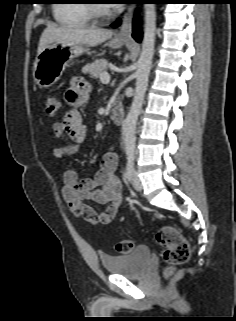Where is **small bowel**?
<instances>
[{
  "label": "small bowel",
  "mask_w": 236,
  "mask_h": 321,
  "mask_svg": "<svg viewBox=\"0 0 236 321\" xmlns=\"http://www.w3.org/2000/svg\"><path fill=\"white\" fill-rule=\"evenodd\" d=\"M90 88L85 80L74 78L64 98L69 105L61 121L52 124L53 134L58 138H68V145L56 148L54 156L62 159L74 155L84 142L88 127L84 124L80 108L89 99ZM118 167V155L109 149L103 157L101 168L92 178H80L78 171L66 169L63 173L62 195L70 210L78 218L91 224H109L117 215L123 202V190L115 172ZM87 200L97 206L106 205L104 210L88 205Z\"/></svg>",
  "instance_id": "small-bowel-1"
}]
</instances>
